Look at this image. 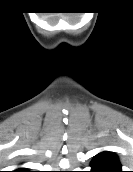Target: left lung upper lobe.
I'll list each match as a JSON object with an SVG mask.
<instances>
[{"mask_svg":"<svg viewBox=\"0 0 133 172\" xmlns=\"http://www.w3.org/2000/svg\"><path fill=\"white\" fill-rule=\"evenodd\" d=\"M90 166L92 168L91 172H123L118 156L108 151L94 156Z\"/></svg>","mask_w":133,"mask_h":172,"instance_id":"5c2ea615","label":"left lung upper lobe"}]
</instances>
